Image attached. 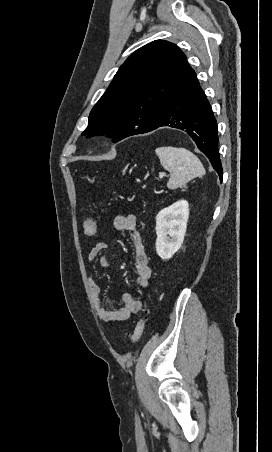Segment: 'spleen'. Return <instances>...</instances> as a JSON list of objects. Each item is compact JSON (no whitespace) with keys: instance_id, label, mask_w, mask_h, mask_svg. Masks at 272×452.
<instances>
[{"instance_id":"spleen-1","label":"spleen","mask_w":272,"mask_h":452,"mask_svg":"<svg viewBox=\"0 0 272 452\" xmlns=\"http://www.w3.org/2000/svg\"><path fill=\"white\" fill-rule=\"evenodd\" d=\"M155 153L165 170L170 172L169 189H176L195 177L203 176L205 169L198 157L185 148L158 147Z\"/></svg>"}]
</instances>
